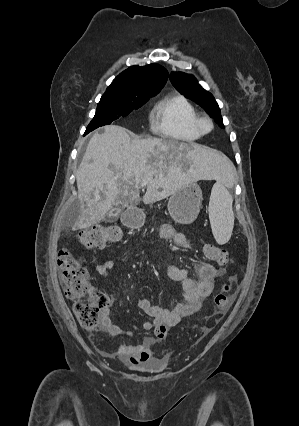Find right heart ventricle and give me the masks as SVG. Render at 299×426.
I'll list each match as a JSON object with an SVG mask.
<instances>
[{
    "instance_id": "e07e8e85",
    "label": "right heart ventricle",
    "mask_w": 299,
    "mask_h": 426,
    "mask_svg": "<svg viewBox=\"0 0 299 426\" xmlns=\"http://www.w3.org/2000/svg\"><path fill=\"white\" fill-rule=\"evenodd\" d=\"M198 113L183 95L172 94L159 100L152 111V129L162 137L192 142L201 137L195 126Z\"/></svg>"
}]
</instances>
